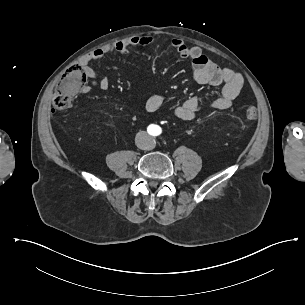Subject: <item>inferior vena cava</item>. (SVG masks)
Returning <instances> with one entry per match:
<instances>
[{"label":"inferior vena cava","instance_id":"obj_1","mask_svg":"<svg viewBox=\"0 0 305 305\" xmlns=\"http://www.w3.org/2000/svg\"><path fill=\"white\" fill-rule=\"evenodd\" d=\"M135 144L139 149L142 150H150L154 147V141L145 131H140L137 133L135 137Z\"/></svg>","mask_w":305,"mask_h":305}]
</instances>
